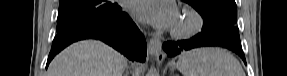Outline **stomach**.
<instances>
[{
    "label": "stomach",
    "mask_w": 287,
    "mask_h": 76,
    "mask_svg": "<svg viewBox=\"0 0 287 76\" xmlns=\"http://www.w3.org/2000/svg\"><path fill=\"white\" fill-rule=\"evenodd\" d=\"M173 67H177L178 68V65H173Z\"/></svg>",
    "instance_id": "stomach-1"
}]
</instances>
